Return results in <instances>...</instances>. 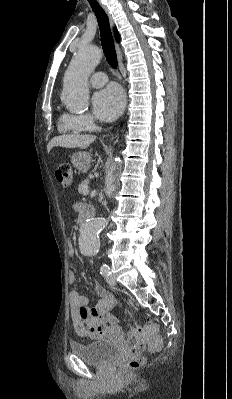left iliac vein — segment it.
<instances>
[{"mask_svg": "<svg viewBox=\"0 0 232 399\" xmlns=\"http://www.w3.org/2000/svg\"><path fill=\"white\" fill-rule=\"evenodd\" d=\"M107 282L109 283L110 286H115L116 285V279L115 278H108Z\"/></svg>", "mask_w": 232, "mask_h": 399, "instance_id": "1", "label": "left iliac vein"}]
</instances>
